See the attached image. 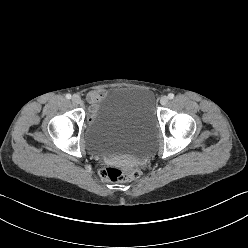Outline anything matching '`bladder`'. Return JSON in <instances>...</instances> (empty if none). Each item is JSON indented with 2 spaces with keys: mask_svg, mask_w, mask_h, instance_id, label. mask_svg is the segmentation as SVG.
I'll list each match as a JSON object with an SVG mask.
<instances>
[{
  "mask_svg": "<svg viewBox=\"0 0 248 248\" xmlns=\"http://www.w3.org/2000/svg\"><path fill=\"white\" fill-rule=\"evenodd\" d=\"M156 124L150 92L117 88L93 113L88 128L89 146L105 155L144 156L153 149Z\"/></svg>",
  "mask_w": 248,
  "mask_h": 248,
  "instance_id": "31cf9c89",
  "label": "bladder"
}]
</instances>
